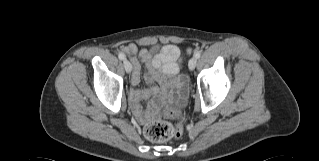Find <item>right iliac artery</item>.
<instances>
[{
  "label": "right iliac artery",
  "mask_w": 319,
  "mask_h": 161,
  "mask_svg": "<svg viewBox=\"0 0 319 161\" xmlns=\"http://www.w3.org/2000/svg\"><path fill=\"white\" fill-rule=\"evenodd\" d=\"M118 58L120 60H124L125 59V55L123 53H119Z\"/></svg>",
  "instance_id": "obj_1"
}]
</instances>
